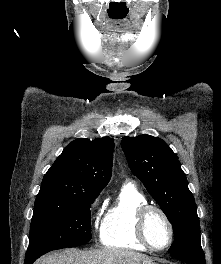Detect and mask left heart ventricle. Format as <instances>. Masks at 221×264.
<instances>
[{
    "label": "left heart ventricle",
    "instance_id": "left-heart-ventricle-1",
    "mask_svg": "<svg viewBox=\"0 0 221 264\" xmlns=\"http://www.w3.org/2000/svg\"><path fill=\"white\" fill-rule=\"evenodd\" d=\"M146 231L150 242L154 246L162 247L169 241L168 226L162 216L157 212H152L148 216Z\"/></svg>",
    "mask_w": 221,
    "mask_h": 264
}]
</instances>
